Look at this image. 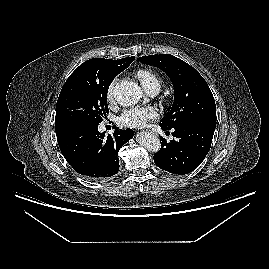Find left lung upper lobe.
<instances>
[{"instance_id":"5c2ea615","label":"left lung upper lobe","mask_w":269,"mask_h":269,"mask_svg":"<svg viewBox=\"0 0 269 269\" xmlns=\"http://www.w3.org/2000/svg\"><path fill=\"white\" fill-rule=\"evenodd\" d=\"M138 61L163 70L174 87V103L160 126L166 129L196 122L216 124L214 97L204 78L189 64L170 54L139 57Z\"/></svg>"}]
</instances>
